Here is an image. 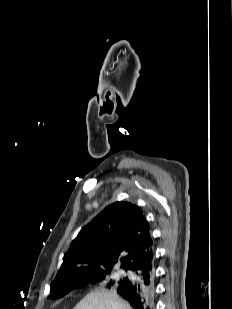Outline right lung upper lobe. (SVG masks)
Returning a JSON list of instances; mask_svg holds the SVG:
<instances>
[{
  "instance_id": "right-lung-upper-lobe-1",
  "label": "right lung upper lobe",
  "mask_w": 232,
  "mask_h": 309,
  "mask_svg": "<svg viewBox=\"0 0 232 309\" xmlns=\"http://www.w3.org/2000/svg\"><path fill=\"white\" fill-rule=\"evenodd\" d=\"M145 257H154L148 221L138 206L115 202L81 229L51 286L84 274L111 270L115 265L126 270Z\"/></svg>"
}]
</instances>
